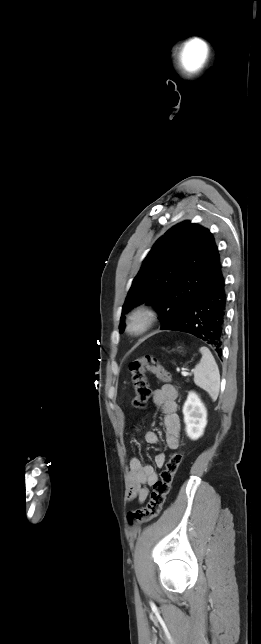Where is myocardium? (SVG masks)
<instances>
[{
    "mask_svg": "<svg viewBox=\"0 0 261 644\" xmlns=\"http://www.w3.org/2000/svg\"><path fill=\"white\" fill-rule=\"evenodd\" d=\"M159 316L157 308L150 303H142L132 309L127 316L126 332L138 337L149 331Z\"/></svg>",
    "mask_w": 261,
    "mask_h": 644,
    "instance_id": "myocardium-1",
    "label": "myocardium"
}]
</instances>
